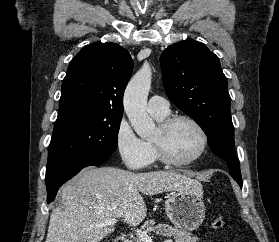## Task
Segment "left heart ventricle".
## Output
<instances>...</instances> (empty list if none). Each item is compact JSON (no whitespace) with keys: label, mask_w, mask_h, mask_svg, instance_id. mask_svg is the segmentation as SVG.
Wrapping results in <instances>:
<instances>
[{"label":"left heart ventricle","mask_w":279,"mask_h":242,"mask_svg":"<svg viewBox=\"0 0 279 242\" xmlns=\"http://www.w3.org/2000/svg\"><path fill=\"white\" fill-rule=\"evenodd\" d=\"M155 132L153 138H156ZM200 135L193 125L186 121L175 123L166 136V147L170 155L177 160L192 157L199 149Z\"/></svg>","instance_id":"obj_1"}]
</instances>
